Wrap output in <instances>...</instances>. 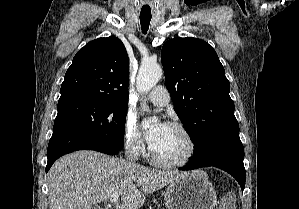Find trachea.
<instances>
[{"instance_id": "trachea-1", "label": "trachea", "mask_w": 299, "mask_h": 209, "mask_svg": "<svg viewBox=\"0 0 299 209\" xmlns=\"http://www.w3.org/2000/svg\"><path fill=\"white\" fill-rule=\"evenodd\" d=\"M150 21H151V17L140 16V23H141V29L143 34L147 33L149 29Z\"/></svg>"}]
</instances>
